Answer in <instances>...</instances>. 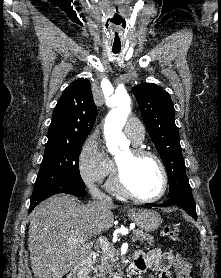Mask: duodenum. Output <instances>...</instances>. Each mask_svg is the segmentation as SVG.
I'll return each mask as SVG.
<instances>
[{"mask_svg":"<svg viewBox=\"0 0 221 278\" xmlns=\"http://www.w3.org/2000/svg\"><path fill=\"white\" fill-rule=\"evenodd\" d=\"M94 261V255H90L87 259L83 260L78 264L67 276V278H88V270L91 267ZM132 274H137L139 271L134 266V263L131 265Z\"/></svg>","mask_w":221,"mask_h":278,"instance_id":"duodenum-1","label":"duodenum"}]
</instances>
